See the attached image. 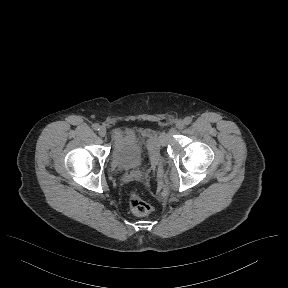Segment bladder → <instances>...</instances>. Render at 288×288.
<instances>
[{"instance_id":"obj_1","label":"bladder","mask_w":288,"mask_h":288,"mask_svg":"<svg viewBox=\"0 0 288 288\" xmlns=\"http://www.w3.org/2000/svg\"><path fill=\"white\" fill-rule=\"evenodd\" d=\"M160 146L151 129H117L111 134L109 160L116 170L138 169L145 160L158 157Z\"/></svg>"}]
</instances>
